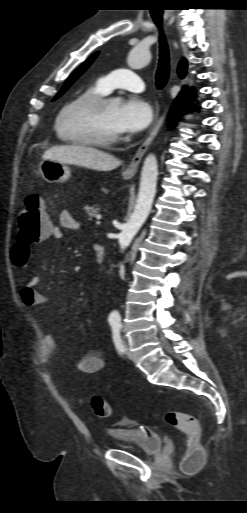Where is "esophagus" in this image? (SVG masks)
<instances>
[{"label": "esophagus", "instance_id": "1", "mask_svg": "<svg viewBox=\"0 0 247 513\" xmlns=\"http://www.w3.org/2000/svg\"><path fill=\"white\" fill-rule=\"evenodd\" d=\"M163 122V117L159 116L158 109L155 112L154 121L149 129V133L145 141L141 144L139 149L137 150L136 154L132 158L131 162L129 163L128 167L125 169L124 174L128 176H134L138 170L139 164L142 160V157L144 156L145 152L147 151L149 145L153 141V139L156 137L161 125Z\"/></svg>", "mask_w": 247, "mask_h": 513}]
</instances>
